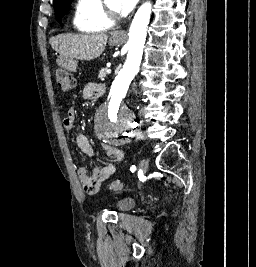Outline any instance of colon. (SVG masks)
Returning <instances> with one entry per match:
<instances>
[{
  "mask_svg": "<svg viewBox=\"0 0 256 267\" xmlns=\"http://www.w3.org/2000/svg\"><path fill=\"white\" fill-rule=\"evenodd\" d=\"M56 83L63 90L72 89L76 81L71 73H65V71H56ZM108 190L111 192H122L126 190L127 186L121 182L114 181L108 184Z\"/></svg>",
  "mask_w": 256,
  "mask_h": 267,
  "instance_id": "obj_1",
  "label": "colon"
}]
</instances>
